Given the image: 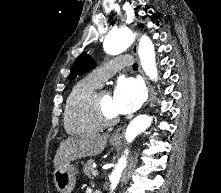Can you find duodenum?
Returning <instances> with one entry per match:
<instances>
[{
    "label": "duodenum",
    "mask_w": 221,
    "mask_h": 193,
    "mask_svg": "<svg viewBox=\"0 0 221 193\" xmlns=\"http://www.w3.org/2000/svg\"><path fill=\"white\" fill-rule=\"evenodd\" d=\"M94 193H101L100 191H95Z\"/></svg>",
    "instance_id": "1"
}]
</instances>
